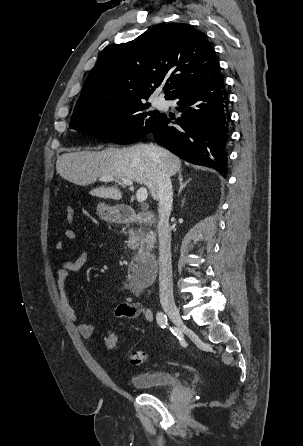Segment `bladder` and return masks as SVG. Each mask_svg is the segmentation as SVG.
Wrapping results in <instances>:
<instances>
[{"mask_svg": "<svg viewBox=\"0 0 303 446\" xmlns=\"http://www.w3.org/2000/svg\"><path fill=\"white\" fill-rule=\"evenodd\" d=\"M130 382L136 389L162 390L182 384L179 375L170 370L151 369L131 376Z\"/></svg>", "mask_w": 303, "mask_h": 446, "instance_id": "obj_1", "label": "bladder"}]
</instances>
